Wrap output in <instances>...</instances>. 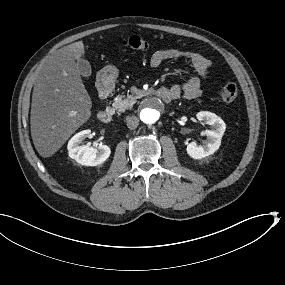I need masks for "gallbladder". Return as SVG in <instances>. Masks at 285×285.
<instances>
[{
  "label": "gallbladder",
  "instance_id": "obj_1",
  "mask_svg": "<svg viewBox=\"0 0 285 285\" xmlns=\"http://www.w3.org/2000/svg\"><path fill=\"white\" fill-rule=\"evenodd\" d=\"M77 68L83 78L89 79L91 77L92 69L87 61L79 60L77 63Z\"/></svg>",
  "mask_w": 285,
  "mask_h": 285
}]
</instances>
